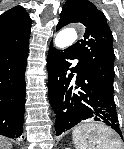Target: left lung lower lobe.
Segmentation results:
<instances>
[{
	"label": "left lung lower lobe",
	"instance_id": "1",
	"mask_svg": "<svg viewBox=\"0 0 124 149\" xmlns=\"http://www.w3.org/2000/svg\"><path fill=\"white\" fill-rule=\"evenodd\" d=\"M78 59L75 67L72 60ZM48 97L56 118V135L71 129L81 120L92 118L112 128L122 139L113 89L91 76L85 64L70 48L55 49L52 44L47 56ZM67 71H71L68 75ZM77 73L72 81L73 73ZM79 89L78 94L74 90Z\"/></svg>",
	"mask_w": 124,
	"mask_h": 149
}]
</instances>
